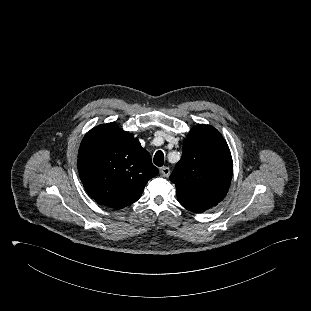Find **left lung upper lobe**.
Masks as SVG:
<instances>
[{"label":"left lung upper lobe","mask_w":311,"mask_h":311,"mask_svg":"<svg viewBox=\"0 0 311 311\" xmlns=\"http://www.w3.org/2000/svg\"><path fill=\"white\" fill-rule=\"evenodd\" d=\"M182 150V158L170 175L176 193L216 206L226 196L233 172L226 141L214 127L198 124L185 138Z\"/></svg>","instance_id":"5c2ea615"}]
</instances>
